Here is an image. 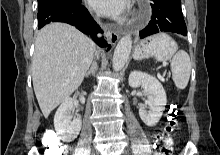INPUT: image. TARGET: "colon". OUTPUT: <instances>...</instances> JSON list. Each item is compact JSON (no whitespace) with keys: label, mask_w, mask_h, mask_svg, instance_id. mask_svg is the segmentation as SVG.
Listing matches in <instances>:
<instances>
[{"label":"colon","mask_w":220,"mask_h":155,"mask_svg":"<svg viewBox=\"0 0 220 155\" xmlns=\"http://www.w3.org/2000/svg\"><path fill=\"white\" fill-rule=\"evenodd\" d=\"M180 122V111L177 104L169 106L166 117L164 133H160L156 137V144H149V149H157L156 155H171V137L170 133L174 131ZM44 146L46 149L45 155H63L62 146L54 140L51 135L45 136Z\"/></svg>","instance_id":"1"}]
</instances>
